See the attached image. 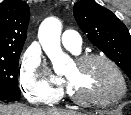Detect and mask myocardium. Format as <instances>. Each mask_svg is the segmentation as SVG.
Segmentation results:
<instances>
[{"label":"myocardium","instance_id":"1","mask_svg":"<svg viewBox=\"0 0 131 115\" xmlns=\"http://www.w3.org/2000/svg\"><path fill=\"white\" fill-rule=\"evenodd\" d=\"M92 61H102L108 64L114 70L120 82V89L118 93L109 98L99 99V98L79 96L71 90L68 92L69 98L74 103L81 106H98V107H107L123 99L127 93V83L124 74L121 68L117 65V63L113 61L111 58H109L108 56L103 54H86L78 57L75 61V64L77 66H84Z\"/></svg>","mask_w":131,"mask_h":115}]
</instances>
